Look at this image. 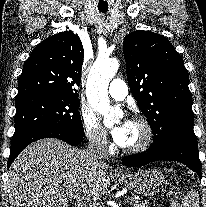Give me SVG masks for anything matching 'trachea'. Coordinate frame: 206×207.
Listing matches in <instances>:
<instances>
[{
	"label": "trachea",
	"mask_w": 206,
	"mask_h": 207,
	"mask_svg": "<svg viewBox=\"0 0 206 207\" xmlns=\"http://www.w3.org/2000/svg\"><path fill=\"white\" fill-rule=\"evenodd\" d=\"M100 12L105 13L106 11H100Z\"/></svg>",
	"instance_id": "1"
}]
</instances>
